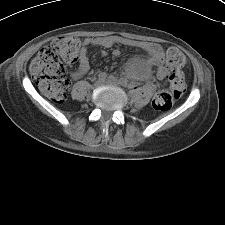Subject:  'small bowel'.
<instances>
[{
    "mask_svg": "<svg viewBox=\"0 0 225 225\" xmlns=\"http://www.w3.org/2000/svg\"><path fill=\"white\" fill-rule=\"evenodd\" d=\"M116 43L113 37H99V38H85L82 41V47L79 52V66L71 76L73 79H78L86 74L90 69L89 59L87 56V48L91 45H97L103 48L101 51L102 56H106L107 52L104 49L112 47ZM145 52H147L149 59L145 63V68L133 66L128 70V74L133 78L148 75V66H161L163 62V51L161 47L154 43H144L140 46ZM121 54L119 49L113 50V56L118 57Z\"/></svg>",
    "mask_w": 225,
    "mask_h": 225,
    "instance_id": "small-bowel-1",
    "label": "small bowel"
}]
</instances>
